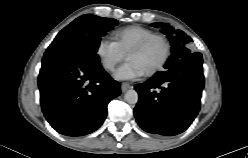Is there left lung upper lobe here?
<instances>
[{
    "label": "left lung upper lobe",
    "mask_w": 248,
    "mask_h": 158,
    "mask_svg": "<svg viewBox=\"0 0 248 158\" xmlns=\"http://www.w3.org/2000/svg\"><path fill=\"white\" fill-rule=\"evenodd\" d=\"M151 25L161 28V31L167 35L172 45V55L164 66L165 69H169L176 61L191 54L188 47L192 39L187 36L186 33L181 30L175 31L174 28L167 23H153Z\"/></svg>",
    "instance_id": "5c2ea615"
}]
</instances>
